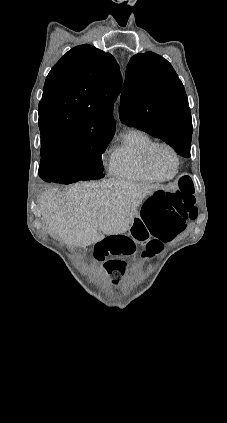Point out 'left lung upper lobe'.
Wrapping results in <instances>:
<instances>
[{
  "label": "left lung upper lobe",
  "instance_id": "1",
  "mask_svg": "<svg viewBox=\"0 0 227 423\" xmlns=\"http://www.w3.org/2000/svg\"><path fill=\"white\" fill-rule=\"evenodd\" d=\"M119 117L170 146L191 143L192 121L183 84L171 64L153 52L130 59Z\"/></svg>",
  "mask_w": 227,
  "mask_h": 423
}]
</instances>
